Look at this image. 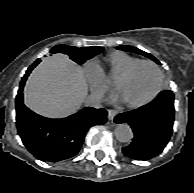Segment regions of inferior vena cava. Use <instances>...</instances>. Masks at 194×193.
Here are the masks:
<instances>
[{
  "instance_id": "obj_1",
  "label": "inferior vena cava",
  "mask_w": 194,
  "mask_h": 193,
  "mask_svg": "<svg viewBox=\"0 0 194 193\" xmlns=\"http://www.w3.org/2000/svg\"><path fill=\"white\" fill-rule=\"evenodd\" d=\"M103 99V95L99 93H92L88 99H87V104L89 106L95 107V108H100L101 107V101Z\"/></svg>"
}]
</instances>
